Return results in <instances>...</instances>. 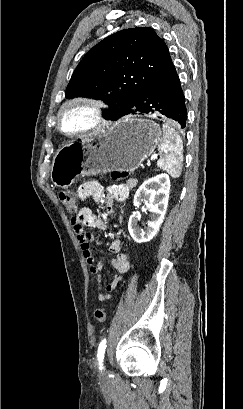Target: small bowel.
Segmentation results:
<instances>
[{"label":"small bowel","mask_w":243,"mask_h":409,"mask_svg":"<svg viewBox=\"0 0 243 409\" xmlns=\"http://www.w3.org/2000/svg\"><path fill=\"white\" fill-rule=\"evenodd\" d=\"M136 185L137 180L134 178L129 179L124 184L112 185L107 188L106 197L102 198L104 190L101 184L97 181H88L79 187L78 196L81 199L93 198L97 202L102 201L105 205L106 212L112 214L115 211V201H124L128 197L130 190ZM71 223L77 235L89 272L95 277L96 287L99 290L98 299L100 301L108 300L112 296V291L122 280V275L129 269L128 256L123 252L122 243L120 240L115 239L110 244L109 250L114 254L112 266L115 270V274L103 291V263L102 261H95L94 254L90 247V242L94 239V236L92 233L86 231L85 227L102 230L109 229V227L105 224L100 215L93 212L89 207H83L79 213L72 218Z\"/></svg>","instance_id":"c3829d8e"}]
</instances>
